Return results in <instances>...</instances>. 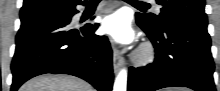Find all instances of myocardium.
<instances>
[{
  "instance_id": "1",
  "label": "myocardium",
  "mask_w": 220,
  "mask_h": 91,
  "mask_svg": "<svg viewBox=\"0 0 220 91\" xmlns=\"http://www.w3.org/2000/svg\"><path fill=\"white\" fill-rule=\"evenodd\" d=\"M155 51L150 43L144 44L135 54V61L139 65H146L153 61Z\"/></svg>"
}]
</instances>
